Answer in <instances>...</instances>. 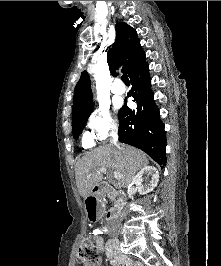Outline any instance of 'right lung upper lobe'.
<instances>
[{
  "mask_svg": "<svg viewBox=\"0 0 221 266\" xmlns=\"http://www.w3.org/2000/svg\"><path fill=\"white\" fill-rule=\"evenodd\" d=\"M145 60V53L140 45L136 30L127 23H117L116 40L113 49L109 50L107 54L110 72L114 74L120 66H123L122 73L129 76ZM93 104L90 77L86 71H83L74 90L73 117L91 111Z\"/></svg>",
  "mask_w": 221,
  "mask_h": 266,
  "instance_id": "1",
  "label": "right lung upper lobe"
}]
</instances>
